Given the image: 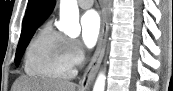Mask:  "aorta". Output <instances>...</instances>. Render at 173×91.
Masks as SVG:
<instances>
[{"instance_id":"obj_1","label":"aorta","mask_w":173,"mask_h":91,"mask_svg":"<svg viewBox=\"0 0 173 91\" xmlns=\"http://www.w3.org/2000/svg\"><path fill=\"white\" fill-rule=\"evenodd\" d=\"M59 29L70 37L80 34L79 9L77 0H60ZM105 75L99 74L94 84L93 91H104Z\"/></svg>"}]
</instances>
